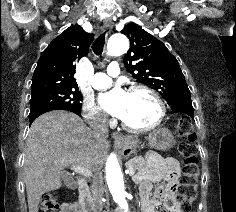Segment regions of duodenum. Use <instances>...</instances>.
<instances>
[{
    "label": "duodenum",
    "instance_id": "410a0bca",
    "mask_svg": "<svg viewBox=\"0 0 236 212\" xmlns=\"http://www.w3.org/2000/svg\"><path fill=\"white\" fill-rule=\"evenodd\" d=\"M79 206L81 212H97L96 207L90 196V189L84 180L78 182Z\"/></svg>",
    "mask_w": 236,
    "mask_h": 212
}]
</instances>
